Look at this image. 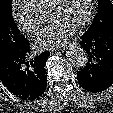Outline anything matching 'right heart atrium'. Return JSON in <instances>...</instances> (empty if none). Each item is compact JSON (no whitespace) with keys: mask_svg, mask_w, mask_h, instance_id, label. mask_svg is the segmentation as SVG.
<instances>
[{"mask_svg":"<svg viewBox=\"0 0 113 113\" xmlns=\"http://www.w3.org/2000/svg\"><path fill=\"white\" fill-rule=\"evenodd\" d=\"M11 15L17 26L26 34H36L43 22L44 16L25 0H13Z\"/></svg>","mask_w":113,"mask_h":113,"instance_id":"1","label":"right heart atrium"}]
</instances>
